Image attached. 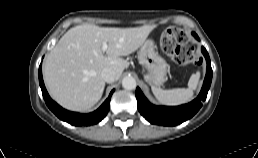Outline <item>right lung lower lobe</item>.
I'll return each instance as SVG.
<instances>
[{
    "mask_svg": "<svg viewBox=\"0 0 258 158\" xmlns=\"http://www.w3.org/2000/svg\"><path fill=\"white\" fill-rule=\"evenodd\" d=\"M39 84L42 90V95L45 100L46 105L48 108L61 120L66 121L70 123L71 125L75 126H88L97 124L100 122L105 116L107 115L109 111V102L111 99V96L114 92L112 90L109 94V97L105 100V102L94 112L89 114H80L76 112H70L62 107H60L57 103H55L47 93V90L45 88L43 78H42V69L41 64L39 67Z\"/></svg>",
    "mask_w": 258,
    "mask_h": 158,
    "instance_id": "98d812e1",
    "label": "right lung lower lobe"
}]
</instances>
